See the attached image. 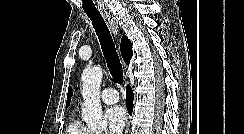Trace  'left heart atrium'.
I'll return each mask as SVG.
<instances>
[{
	"mask_svg": "<svg viewBox=\"0 0 244 134\" xmlns=\"http://www.w3.org/2000/svg\"><path fill=\"white\" fill-rule=\"evenodd\" d=\"M109 134H121L125 127L127 116L120 106H112L104 114Z\"/></svg>",
	"mask_w": 244,
	"mask_h": 134,
	"instance_id": "1",
	"label": "left heart atrium"
}]
</instances>
